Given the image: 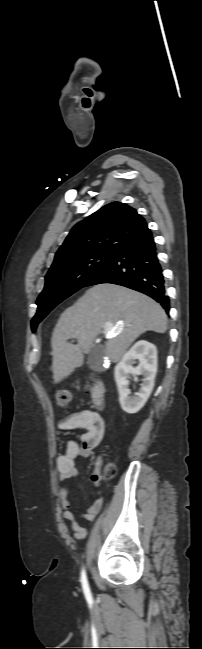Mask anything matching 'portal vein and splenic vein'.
I'll return each mask as SVG.
<instances>
[{
  "label": "portal vein and splenic vein",
  "instance_id": "obj_1",
  "mask_svg": "<svg viewBox=\"0 0 202 649\" xmlns=\"http://www.w3.org/2000/svg\"><path fill=\"white\" fill-rule=\"evenodd\" d=\"M112 332H113V330H112V328H111V325L108 324V325L105 327V329H104V334L106 335V338H107V336H109Z\"/></svg>",
  "mask_w": 202,
  "mask_h": 649
}]
</instances>
